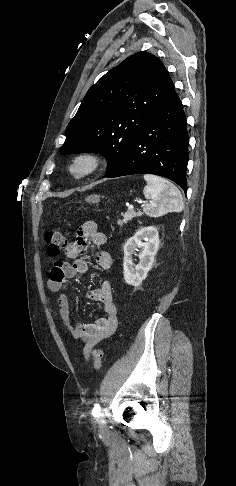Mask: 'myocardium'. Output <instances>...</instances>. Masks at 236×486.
<instances>
[{
	"mask_svg": "<svg viewBox=\"0 0 236 486\" xmlns=\"http://www.w3.org/2000/svg\"><path fill=\"white\" fill-rule=\"evenodd\" d=\"M104 164V157L96 151H83L73 156L67 166L71 178L82 180L96 174Z\"/></svg>",
	"mask_w": 236,
	"mask_h": 486,
	"instance_id": "obj_1",
	"label": "myocardium"
}]
</instances>
